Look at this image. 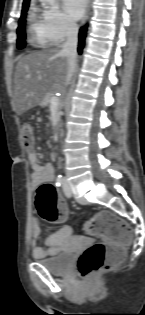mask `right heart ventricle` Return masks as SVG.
Listing matches in <instances>:
<instances>
[{"instance_id": "1", "label": "right heart ventricle", "mask_w": 145, "mask_h": 315, "mask_svg": "<svg viewBox=\"0 0 145 315\" xmlns=\"http://www.w3.org/2000/svg\"><path fill=\"white\" fill-rule=\"evenodd\" d=\"M28 34L29 41L35 48L45 49L53 44L42 20L34 12L29 16Z\"/></svg>"}]
</instances>
